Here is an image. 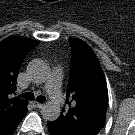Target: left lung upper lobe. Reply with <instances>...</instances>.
Returning <instances> with one entry per match:
<instances>
[{"label": "left lung upper lobe", "mask_w": 135, "mask_h": 135, "mask_svg": "<svg viewBox=\"0 0 135 135\" xmlns=\"http://www.w3.org/2000/svg\"><path fill=\"white\" fill-rule=\"evenodd\" d=\"M72 63L67 87L69 110L54 122L74 135H97L105 123L108 90L100 63L90 46L70 39ZM68 98L72 100L69 101Z\"/></svg>", "instance_id": "obj_1"}]
</instances>
